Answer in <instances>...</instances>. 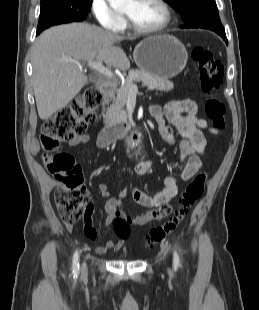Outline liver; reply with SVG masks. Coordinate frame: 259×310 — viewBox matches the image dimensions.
<instances>
[{"label":"liver","mask_w":259,"mask_h":310,"mask_svg":"<svg viewBox=\"0 0 259 310\" xmlns=\"http://www.w3.org/2000/svg\"><path fill=\"white\" fill-rule=\"evenodd\" d=\"M124 38L89 25L72 23L44 31L32 48L33 89L40 119L67 106L88 83L82 62L103 61L121 70L130 68Z\"/></svg>","instance_id":"obj_1"}]
</instances>
